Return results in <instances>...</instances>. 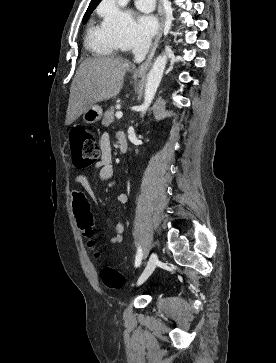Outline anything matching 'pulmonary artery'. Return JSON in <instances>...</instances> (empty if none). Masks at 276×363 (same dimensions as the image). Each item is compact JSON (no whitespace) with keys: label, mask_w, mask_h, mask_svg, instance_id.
<instances>
[{"label":"pulmonary artery","mask_w":276,"mask_h":363,"mask_svg":"<svg viewBox=\"0 0 276 363\" xmlns=\"http://www.w3.org/2000/svg\"><path fill=\"white\" fill-rule=\"evenodd\" d=\"M135 5L143 12H151L155 7V0H135Z\"/></svg>","instance_id":"obj_1"}]
</instances>
